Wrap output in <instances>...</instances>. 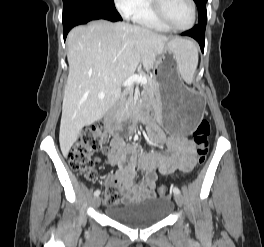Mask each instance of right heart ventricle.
<instances>
[{
    "label": "right heart ventricle",
    "mask_w": 264,
    "mask_h": 247,
    "mask_svg": "<svg viewBox=\"0 0 264 247\" xmlns=\"http://www.w3.org/2000/svg\"><path fill=\"white\" fill-rule=\"evenodd\" d=\"M132 20L147 28L167 32L169 31L163 24H161L153 15L150 8V1L143 0V3L131 15Z\"/></svg>",
    "instance_id": "e07e8e85"
}]
</instances>
